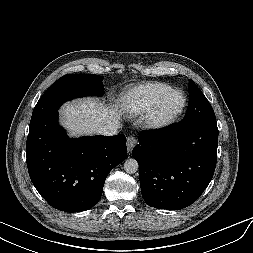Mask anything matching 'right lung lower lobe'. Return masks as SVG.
<instances>
[{"mask_svg":"<svg viewBox=\"0 0 253 253\" xmlns=\"http://www.w3.org/2000/svg\"><path fill=\"white\" fill-rule=\"evenodd\" d=\"M127 155L126 137L71 139L54 111L30 123L27 167L40 195L54 208L80 212L101 198L105 179Z\"/></svg>","mask_w":253,"mask_h":253,"instance_id":"right-lung-lower-lobe-1","label":"right lung lower lobe"}]
</instances>
